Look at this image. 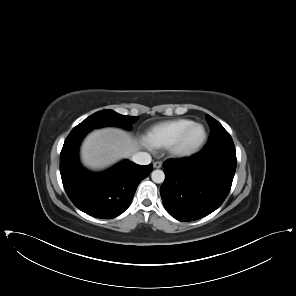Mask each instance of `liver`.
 Listing matches in <instances>:
<instances>
[{
    "label": "liver",
    "mask_w": 296,
    "mask_h": 296,
    "mask_svg": "<svg viewBox=\"0 0 296 296\" xmlns=\"http://www.w3.org/2000/svg\"><path fill=\"white\" fill-rule=\"evenodd\" d=\"M140 143L128 132L114 127L91 132L81 146L82 163L93 170H101L117 161L133 156Z\"/></svg>",
    "instance_id": "1"
}]
</instances>
